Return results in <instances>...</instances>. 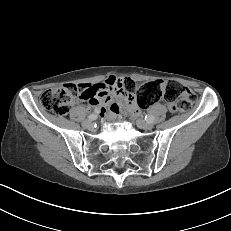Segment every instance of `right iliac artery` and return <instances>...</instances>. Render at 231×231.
<instances>
[{
	"instance_id": "1",
	"label": "right iliac artery",
	"mask_w": 231,
	"mask_h": 231,
	"mask_svg": "<svg viewBox=\"0 0 231 231\" xmlns=\"http://www.w3.org/2000/svg\"><path fill=\"white\" fill-rule=\"evenodd\" d=\"M88 119L89 120H95V119H97V115L96 114H91V115L88 116Z\"/></svg>"
}]
</instances>
